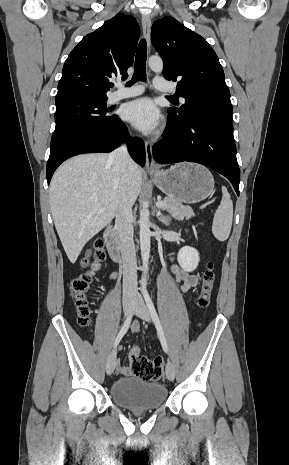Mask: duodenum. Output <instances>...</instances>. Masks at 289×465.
I'll return each mask as SVG.
<instances>
[{"label":"duodenum","mask_w":289,"mask_h":465,"mask_svg":"<svg viewBox=\"0 0 289 465\" xmlns=\"http://www.w3.org/2000/svg\"><path fill=\"white\" fill-rule=\"evenodd\" d=\"M104 240L112 260H114L115 262H121L122 249L117 238L115 229L112 225L106 227L104 232Z\"/></svg>","instance_id":"duodenum-1"}]
</instances>
